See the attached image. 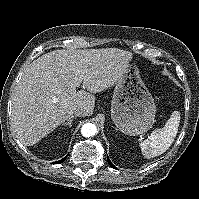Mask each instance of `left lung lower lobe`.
Wrapping results in <instances>:
<instances>
[{
	"label": "left lung lower lobe",
	"mask_w": 199,
	"mask_h": 199,
	"mask_svg": "<svg viewBox=\"0 0 199 199\" xmlns=\"http://www.w3.org/2000/svg\"><path fill=\"white\" fill-rule=\"evenodd\" d=\"M107 159H108V163L110 164V166L114 169H116V167L111 163V161L109 160L108 156H107Z\"/></svg>",
	"instance_id": "1"
}]
</instances>
